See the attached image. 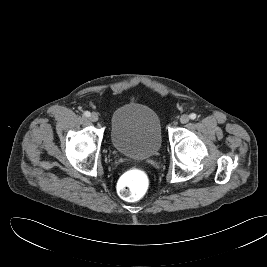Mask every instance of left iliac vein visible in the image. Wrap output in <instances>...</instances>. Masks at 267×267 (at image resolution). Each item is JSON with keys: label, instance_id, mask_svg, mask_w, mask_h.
I'll use <instances>...</instances> for the list:
<instances>
[{"label": "left iliac vein", "instance_id": "4c4485c4", "mask_svg": "<svg viewBox=\"0 0 267 267\" xmlns=\"http://www.w3.org/2000/svg\"><path fill=\"white\" fill-rule=\"evenodd\" d=\"M189 120H190V117H189L187 114H184V115H182V116L180 117V122H181L182 124H185V123L189 122Z\"/></svg>", "mask_w": 267, "mask_h": 267}]
</instances>
